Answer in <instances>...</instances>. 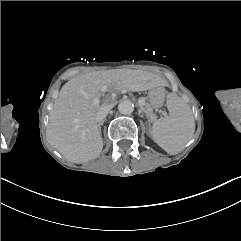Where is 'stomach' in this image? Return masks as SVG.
I'll use <instances>...</instances> for the list:
<instances>
[{"mask_svg":"<svg viewBox=\"0 0 241 241\" xmlns=\"http://www.w3.org/2000/svg\"><path fill=\"white\" fill-rule=\"evenodd\" d=\"M148 100L150 106L154 108H160L163 106L165 101V91L163 88H156L149 92Z\"/></svg>","mask_w":241,"mask_h":241,"instance_id":"0dacf381","label":"stomach"}]
</instances>
